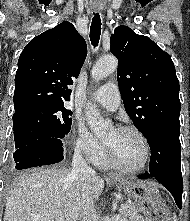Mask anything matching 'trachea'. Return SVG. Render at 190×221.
<instances>
[{
    "instance_id": "3493384b",
    "label": "trachea",
    "mask_w": 190,
    "mask_h": 221,
    "mask_svg": "<svg viewBox=\"0 0 190 221\" xmlns=\"http://www.w3.org/2000/svg\"><path fill=\"white\" fill-rule=\"evenodd\" d=\"M101 35V18L99 13H96L92 19L90 27V41L94 47L98 46Z\"/></svg>"
}]
</instances>
